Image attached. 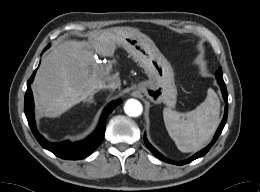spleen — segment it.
Masks as SVG:
<instances>
[{
  "instance_id": "3e777b00",
  "label": "spleen",
  "mask_w": 260,
  "mask_h": 192,
  "mask_svg": "<svg viewBox=\"0 0 260 192\" xmlns=\"http://www.w3.org/2000/svg\"><path fill=\"white\" fill-rule=\"evenodd\" d=\"M219 114L220 101L213 89H208L206 99L190 112L163 109L165 127L181 152L203 148L219 125Z\"/></svg>"
}]
</instances>
